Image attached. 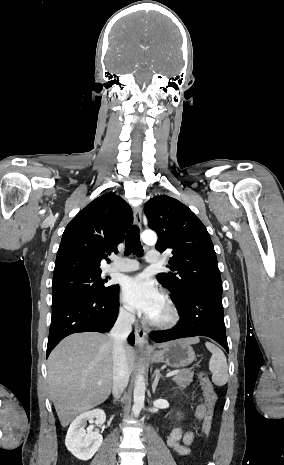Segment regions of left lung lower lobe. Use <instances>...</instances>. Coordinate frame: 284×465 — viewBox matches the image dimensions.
<instances>
[{
	"mask_svg": "<svg viewBox=\"0 0 284 465\" xmlns=\"http://www.w3.org/2000/svg\"><path fill=\"white\" fill-rule=\"evenodd\" d=\"M171 299L179 306L180 321L173 329L150 333L152 342L207 336L217 341L228 352L222 295L207 291H190L180 298Z\"/></svg>",
	"mask_w": 284,
	"mask_h": 465,
	"instance_id": "0a47b994",
	"label": "left lung lower lobe"
}]
</instances>
